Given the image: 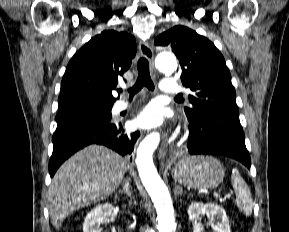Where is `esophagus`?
<instances>
[{"label": "esophagus", "mask_w": 289, "mask_h": 232, "mask_svg": "<svg viewBox=\"0 0 289 232\" xmlns=\"http://www.w3.org/2000/svg\"><path fill=\"white\" fill-rule=\"evenodd\" d=\"M139 49L141 55L144 56L149 61L151 69L154 70V54L151 46L147 42L141 41L139 44ZM166 151L167 145L164 144L159 149L158 156L160 159H163L165 157Z\"/></svg>", "instance_id": "1"}]
</instances>
